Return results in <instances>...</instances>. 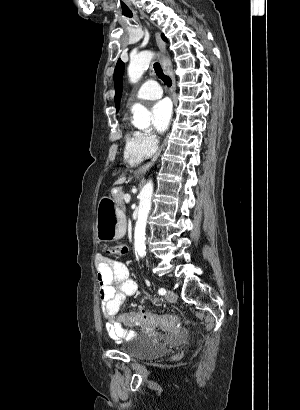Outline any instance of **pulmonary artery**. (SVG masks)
I'll list each match as a JSON object with an SVG mask.
<instances>
[{"label":"pulmonary artery","instance_id":"1","mask_svg":"<svg viewBox=\"0 0 300 410\" xmlns=\"http://www.w3.org/2000/svg\"><path fill=\"white\" fill-rule=\"evenodd\" d=\"M160 85L153 79L147 80L135 93V99L139 101L154 100L162 96Z\"/></svg>","mask_w":300,"mask_h":410}]
</instances>
